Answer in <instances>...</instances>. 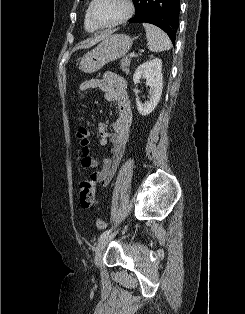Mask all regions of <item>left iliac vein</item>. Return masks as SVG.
Instances as JSON below:
<instances>
[{
  "instance_id": "obj_1",
  "label": "left iliac vein",
  "mask_w": 245,
  "mask_h": 314,
  "mask_svg": "<svg viewBox=\"0 0 245 314\" xmlns=\"http://www.w3.org/2000/svg\"><path fill=\"white\" fill-rule=\"evenodd\" d=\"M115 235H116V232L108 234L107 236L100 239L99 242L97 243L96 248H95V264L97 266L100 264L103 249L109 243V241L114 238Z\"/></svg>"
}]
</instances>
